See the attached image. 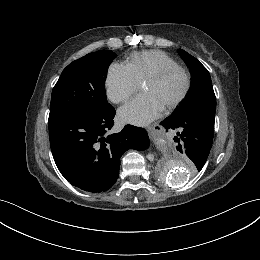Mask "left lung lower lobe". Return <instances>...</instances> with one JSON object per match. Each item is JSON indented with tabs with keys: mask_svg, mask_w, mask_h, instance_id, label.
<instances>
[{
	"mask_svg": "<svg viewBox=\"0 0 260 260\" xmlns=\"http://www.w3.org/2000/svg\"><path fill=\"white\" fill-rule=\"evenodd\" d=\"M166 130L177 131L176 149L187 156L194 170L200 171L210 153L214 137V118L191 113L171 115L160 123Z\"/></svg>",
	"mask_w": 260,
	"mask_h": 260,
	"instance_id": "1",
	"label": "left lung lower lobe"
}]
</instances>
